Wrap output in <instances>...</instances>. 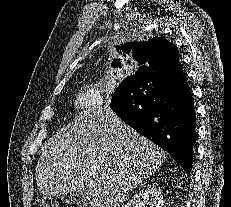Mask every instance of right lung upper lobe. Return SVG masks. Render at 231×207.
<instances>
[{
	"label": "right lung upper lobe",
	"instance_id": "1",
	"mask_svg": "<svg viewBox=\"0 0 231 207\" xmlns=\"http://www.w3.org/2000/svg\"><path fill=\"white\" fill-rule=\"evenodd\" d=\"M115 48L121 55L119 59H116L119 64L132 56L133 59L143 66L159 65L163 68L172 69L181 65L177 46L163 37L149 38L142 42L134 41L115 46Z\"/></svg>",
	"mask_w": 231,
	"mask_h": 207
}]
</instances>
